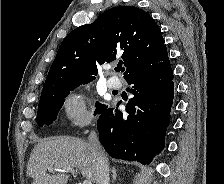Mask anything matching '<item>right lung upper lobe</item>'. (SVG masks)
<instances>
[{
    "label": "right lung upper lobe",
    "mask_w": 224,
    "mask_h": 184,
    "mask_svg": "<svg viewBox=\"0 0 224 184\" xmlns=\"http://www.w3.org/2000/svg\"><path fill=\"white\" fill-rule=\"evenodd\" d=\"M117 57L127 67L125 80L170 63L161 31L147 12L134 6H119L92 24L71 31L59 47L41 98L70 85L92 81L98 73L97 64Z\"/></svg>",
    "instance_id": "1"
}]
</instances>
